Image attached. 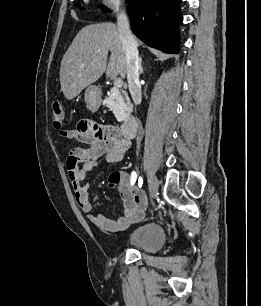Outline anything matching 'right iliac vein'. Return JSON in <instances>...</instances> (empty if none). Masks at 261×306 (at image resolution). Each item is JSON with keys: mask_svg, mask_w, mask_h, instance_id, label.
<instances>
[{"mask_svg": "<svg viewBox=\"0 0 261 306\" xmlns=\"http://www.w3.org/2000/svg\"><path fill=\"white\" fill-rule=\"evenodd\" d=\"M149 190L152 196H155L158 191V181L154 174L150 173L148 176Z\"/></svg>", "mask_w": 261, "mask_h": 306, "instance_id": "1", "label": "right iliac vein"}]
</instances>
